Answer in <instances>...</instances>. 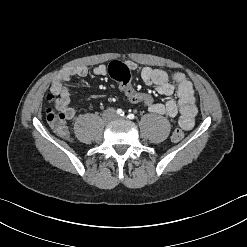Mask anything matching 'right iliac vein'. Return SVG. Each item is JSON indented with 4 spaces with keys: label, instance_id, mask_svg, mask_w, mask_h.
<instances>
[{
    "label": "right iliac vein",
    "instance_id": "right-iliac-vein-1",
    "mask_svg": "<svg viewBox=\"0 0 247 247\" xmlns=\"http://www.w3.org/2000/svg\"><path fill=\"white\" fill-rule=\"evenodd\" d=\"M107 119H112L113 118V113L112 111H109L106 115Z\"/></svg>",
    "mask_w": 247,
    "mask_h": 247
}]
</instances>
